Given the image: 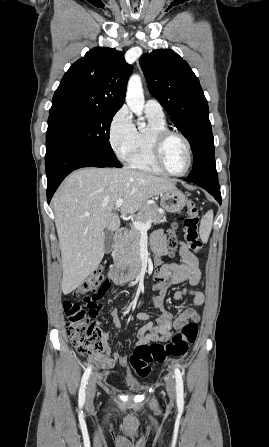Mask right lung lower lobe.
Wrapping results in <instances>:
<instances>
[{"label": "right lung lower lobe", "instance_id": "1", "mask_svg": "<svg viewBox=\"0 0 269 447\" xmlns=\"http://www.w3.org/2000/svg\"><path fill=\"white\" fill-rule=\"evenodd\" d=\"M46 149L48 203L63 179L73 170L82 167H122L114 155L53 133L46 134Z\"/></svg>", "mask_w": 269, "mask_h": 447}]
</instances>
